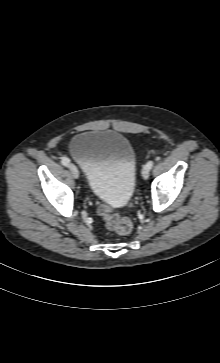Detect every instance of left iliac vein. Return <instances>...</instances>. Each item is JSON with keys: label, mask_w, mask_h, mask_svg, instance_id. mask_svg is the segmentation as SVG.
<instances>
[{"label": "left iliac vein", "mask_w": 220, "mask_h": 363, "mask_svg": "<svg viewBox=\"0 0 220 363\" xmlns=\"http://www.w3.org/2000/svg\"><path fill=\"white\" fill-rule=\"evenodd\" d=\"M142 177L145 180L149 178V169L146 166H144L142 169Z\"/></svg>", "instance_id": "1"}]
</instances>
